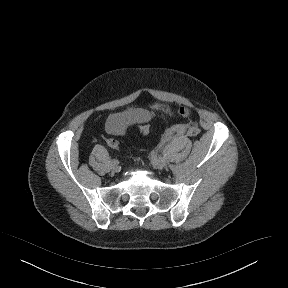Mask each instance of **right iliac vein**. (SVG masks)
Returning <instances> with one entry per match:
<instances>
[{
    "label": "right iliac vein",
    "instance_id": "obj_1",
    "mask_svg": "<svg viewBox=\"0 0 288 288\" xmlns=\"http://www.w3.org/2000/svg\"><path fill=\"white\" fill-rule=\"evenodd\" d=\"M111 169H112L113 171H117V170H118V163L112 162V163H111Z\"/></svg>",
    "mask_w": 288,
    "mask_h": 288
}]
</instances>
